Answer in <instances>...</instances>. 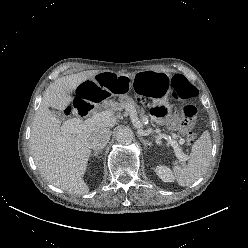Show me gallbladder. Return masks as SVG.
<instances>
[{"mask_svg":"<svg viewBox=\"0 0 248 248\" xmlns=\"http://www.w3.org/2000/svg\"><path fill=\"white\" fill-rule=\"evenodd\" d=\"M52 113H53L59 120H64V117L61 116L57 111L52 110Z\"/></svg>","mask_w":248,"mask_h":248,"instance_id":"gallbladder-1","label":"gallbladder"}]
</instances>
